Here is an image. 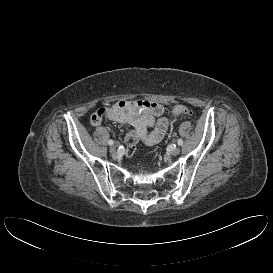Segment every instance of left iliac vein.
I'll return each mask as SVG.
<instances>
[{"label":"left iliac vein","instance_id":"1","mask_svg":"<svg viewBox=\"0 0 273 273\" xmlns=\"http://www.w3.org/2000/svg\"><path fill=\"white\" fill-rule=\"evenodd\" d=\"M179 153H180V148L179 147H175L171 151V155H173V156H177Z\"/></svg>","mask_w":273,"mask_h":273}]
</instances>
